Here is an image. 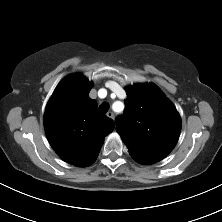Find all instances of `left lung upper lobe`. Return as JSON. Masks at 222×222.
<instances>
[{
    "label": "left lung upper lobe",
    "instance_id": "left-lung-upper-lobe-1",
    "mask_svg": "<svg viewBox=\"0 0 222 222\" xmlns=\"http://www.w3.org/2000/svg\"><path fill=\"white\" fill-rule=\"evenodd\" d=\"M126 92L125 116L116 119V130L135 161L156 163L166 157L178 141L179 113L152 83L129 86Z\"/></svg>",
    "mask_w": 222,
    "mask_h": 222
}]
</instances>
